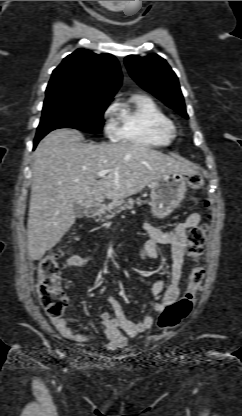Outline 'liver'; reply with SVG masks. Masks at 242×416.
I'll list each match as a JSON object with an SVG mask.
<instances>
[{
  "instance_id": "liver-1",
  "label": "liver",
  "mask_w": 242,
  "mask_h": 416,
  "mask_svg": "<svg viewBox=\"0 0 242 416\" xmlns=\"http://www.w3.org/2000/svg\"><path fill=\"white\" fill-rule=\"evenodd\" d=\"M109 170L97 180L98 173ZM27 222L28 254L39 260L75 222L73 203L97 207L142 191L159 175L195 171L175 158L130 143L88 144L74 129L46 135L36 148Z\"/></svg>"
}]
</instances>
